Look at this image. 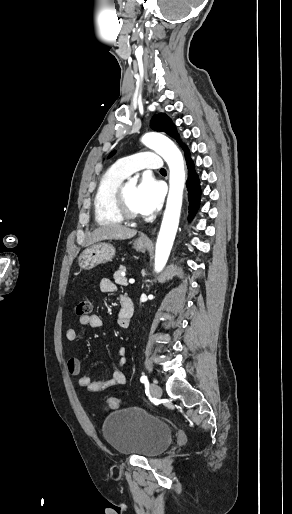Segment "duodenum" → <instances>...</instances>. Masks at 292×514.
<instances>
[{
  "label": "duodenum",
  "instance_id": "1",
  "mask_svg": "<svg viewBox=\"0 0 292 514\" xmlns=\"http://www.w3.org/2000/svg\"><path fill=\"white\" fill-rule=\"evenodd\" d=\"M120 306L123 309L124 313L126 314V317L130 318V320H131V318L134 314V302H133L132 298H130L128 296H121L120 297Z\"/></svg>",
  "mask_w": 292,
  "mask_h": 514
}]
</instances>
